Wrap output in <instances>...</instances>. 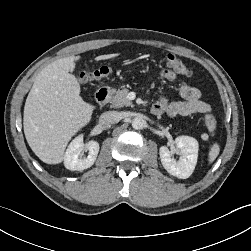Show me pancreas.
I'll list each match as a JSON object with an SVG mask.
<instances>
[{
    "label": "pancreas",
    "instance_id": "cf45deb5",
    "mask_svg": "<svg viewBox=\"0 0 251 251\" xmlns=\"http://www.w3.org/2000/svg\"><path fill=\"white\" fill-rule=\"evenodd\" d=\"M129 90L126 88L112 90L111 92V104L115 108L123 106H133L132 102L127 98Z\"/></svg>",
    "mask_w": 251,
    "mask_h": 251
}]
</instances>
